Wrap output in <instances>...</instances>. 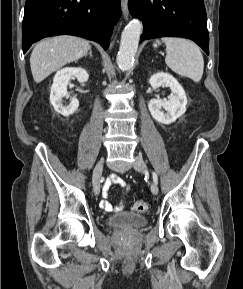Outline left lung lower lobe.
Masks as SVG:
<instances>
[{"mask_svg": "<svg viewBox=\"0 0 243 289\" xmlns=\"http://www.w3.org/2000/svg\"><path fill=\"white\" fill-rule=\"evenodd\" d=\"M128 7L133 17L143 21L140 42L164 36L185 37L209 54L203 0H129Z\"/></svg>", "mask_w": 243, "mask_h": 289, "instance_id": "1", "label": "left lung lower lobe"}]
</instances>
